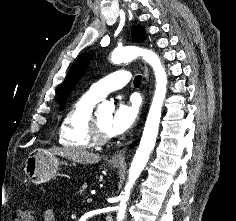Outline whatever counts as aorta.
I'll return each instance as SVG.
<instances>
[{"label":"aorta","instance_id":"1","mask_svg":"<svg viewBox=\"0 0 236 221\" xmlns=\"http://www.w3.org/2000/svg\"><path fill=\"white\" fill-rule=\"evenodd\" d=\"M139 56H141L145 62H147L153 68L156 85L140 145L135 153L129 169L128 182L125 186V192L120 199L119 206L117 207V221H122L124 219L127 206L126 203L129 199L131 189L146 166L150 153L155 146L161 118V109L167 91V75L165 68L161 64L158 55L153 51L140 47L128 46L119 50H115L112 53L111 60L114 64H120L134 60ZM113 111L114 104L109 101H103L98 106L97 116L112 115Z\"/></svg>","mask_w":236,"mask_h":221}]
</instances>
